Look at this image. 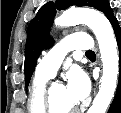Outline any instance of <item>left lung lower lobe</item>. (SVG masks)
Masks as SVG:
<instances>
[{
	"mask_svg": "<svg viewBox=\"0 0 121 113\" xmlns=\"http://www.w3.org/2000/svg\"><path fill=\"white\" fill-rule=\"evenodd\" d=\"M110 23L114 29L117 44L119 47L120 74H119V83L117 86L116 95L110 106L108 113H121V29H120V27L118 25V21L115 17L110 20Z\"/></svg>",
	"mask_w": 121,
	"mask_h": 113,
	"instance_id": "left-lung-lower-lobe-1",
	"label": "left lung lower lobe"
}]
</instances>
